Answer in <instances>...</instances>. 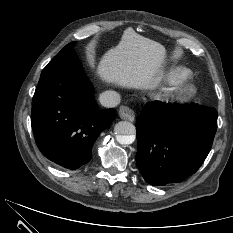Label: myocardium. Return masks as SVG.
I'll return each mask as SVG.
<instances>
[{
  "mask_svg": "<svg viewBox=\"0 0 233 233\" xmlns=\"http://www.w3.org/2000/svg\"><path fill=\"white\" fill-rule=\"evenodd\" d=\"M195 94V85L188 81H182L175 87L164 91L161 97L167 102H184L192 99Z\"/></svg>",
  "mask_w": 233,
  "mask_h": 233,
  "instance_id": "obj_1",
  "label": "myocardium"
}]
</instances>
